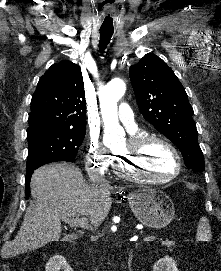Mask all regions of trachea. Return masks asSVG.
I'll return each mask as SVG.
<instances>
[{
	"label": "trachea",
	"mask_w": 221,
	"mask_h": 271,
	"mask_svg": "<svg viewBox=\"0 0 221 271\" xmlns=\"http://www.w3.org/2000/svg\"><path fill=\"white\" fill-rule=\"evenodd\" d=\"M114 29L113 27H101L100 28V41H99V48L100 52L104 53L110 39L113 35Z\"/></svg>",
	"instance_id": "trachea-1"
}]
</instances>
